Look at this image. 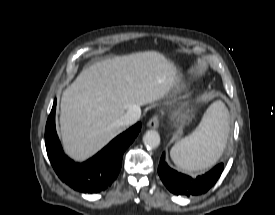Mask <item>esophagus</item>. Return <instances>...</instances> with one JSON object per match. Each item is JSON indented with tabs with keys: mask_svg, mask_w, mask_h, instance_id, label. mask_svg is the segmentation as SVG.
Masks as SVG:
<instances>
[{
	"mask_svg": "<svg viewBox=\"0 0 275 215\" xmlns=\"http://www.w3.org/2000/svg\"><path fill=\"white\" fill-rule=\"evenodd\" d=\"M160 119L158 115H154L147 123V126L151 129H157L159 127Z\"/></svg>",
	"mask_w": 275,
	"mask_h": 215,
	"instance_id": "esophagus-1",
	"label": "esophagus"
}]
</instances>
